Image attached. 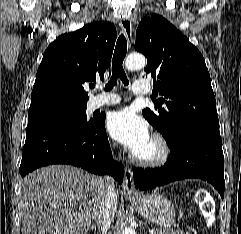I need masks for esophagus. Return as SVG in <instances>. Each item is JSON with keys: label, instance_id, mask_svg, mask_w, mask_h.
Returning a JSON list of instances; mask_svg holds the SVG:
<instances>
[{"label": "esophagus", "instance_id": "obj_1", "mask_svg": "<svg viewBox=\"0 0 241 234\" xmlns=\"http://www.w3.org/2000/svg\"><path fill=\"white\" fill-rule=\"evenodd\" d=\"M120 27L122 33L124 34L128 47H131L132 44V21L130 18H125L120 21ZM123 192L127 196H136L137 192L135 189L134 181H133V172L131 168L127 167L125 169L124 175V183H123Z\"/></svg>", "mask_w": 241, "mask_h": 234}]
</instances>
